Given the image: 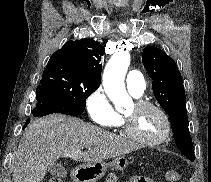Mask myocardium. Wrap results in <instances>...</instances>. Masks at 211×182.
Instances as JSON below:
<instances>
[{"instance_id": "f54148a6", "label": "myocardium", "mask_w": 211, "mask_h": 182, "mask_svg": "<svg viewBox=\"0 0 211 182\" xmlns=\"http://www.w3.org/2000/svg\"><path fill=\"white\" fill-rule=\"evenodd\" d=\"M134 105L139 109L152 108L156 110L160 114L161 118L163 119L164 130L161 133V135L157 137L156 139H152V140L143 139L134 132L130 118L124 115L123 124H124L125 133L137 143L145 145V146H157L165 142L171 133V121L166 111L160 105L148 100L139 99L134 103Z\"/></svg>"}]
</instances>
